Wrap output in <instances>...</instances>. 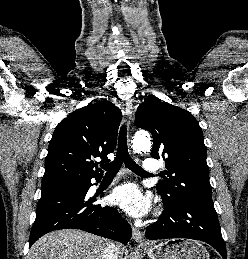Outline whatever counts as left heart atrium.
<instances>
[{
  "instance_id": "obj_1",
  "label": "left heart atrium",
  "mask_w": 248,
  "mask_h": 259,
  "mask_svg": "<svg viewBox=\"0 0 248 259\" xmlns=\"http://www.w3.org/2000/svg\"><path fill=\"white\" fill-rule=\"evenodd\" d=\"M111 200L134 217L144 215L150 207L149 196L144 194L133 183H127L115 188L111 195Z\"/></svg>"
}]
</instances>
